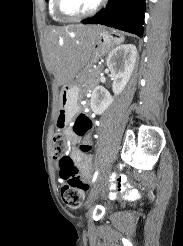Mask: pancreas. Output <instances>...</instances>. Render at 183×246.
<instances>
[{"label":"pancreas","mask_w":183,"mask_h":246,"mask_svg":"<svg viewBox=\"0 0 183 246\" xmlns=\"http://www.w3.org/2000/svg\"><path fill=\"white\" fill-rule=\"evenodd\" d=\"M99 71V68H97V69H91V71H90V74L92 75V74H95V73H97Z\"/></svg>","instance_id":"obj_1"}]
</instances>
